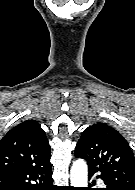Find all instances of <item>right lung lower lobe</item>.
<instances>
[{
  "mask_svg": "<svg viewBox=\"0 0 135 190\" xmlns=\"http://www.w3.org/2000/svg\"><path fill=\"white\" fill-rule=\"evenodd\" d=\"M0 190H56L52 185L51 164L0 170Z\"/></svg>",
  "mask_w": 135,
  "mask_h": 190,
  "instance_id": "1",
  "label": "right lung lower lobe"
}]
</instances>
